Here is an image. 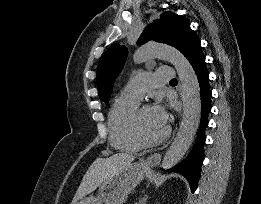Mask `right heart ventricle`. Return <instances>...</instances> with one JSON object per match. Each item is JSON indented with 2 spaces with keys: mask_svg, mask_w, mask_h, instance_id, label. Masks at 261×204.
<instances>
[{
  "mask_svg": "<svg viewBox=\"0 0 261 204\" xmlns=\"http://www.w3.org/2000/svg\"><path fill=\"white\" fill-rule=\"evenodd\" d=\"M139 102L118 97L108 115L109 138L111 145L120 151L137 152L142 148L132 129V118Z\"/></svg>",
  "mask_w": 261,
  "mask_h": 204,
  "instance_id": "right-heart-ventricle-1",
  "label": "right heart ventricle"
}]
</instances>
